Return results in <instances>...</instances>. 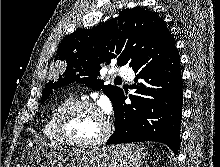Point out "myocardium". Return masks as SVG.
Returning a JSON list of instances; mask_svg holds the SVG:
<instances>
[{
	"label": "myocardium",
	"instance_id": "f54148a6",
	"mask_svg": "<svg viewBox=\"0 0 220 167\" xmlns=\"http://www.w3.org/2000/svg\"><path fill=\"white\" fill-rule=\"evenodd\" d=\"M80 107L93 110L94 112H96L102 117L103 130L97 138L92 139V140H86V141L77 140V139L70 137L66 133L64 129V124H65L66 119L68 118V116L71 114L73 110H75L76 108H80ZM54 129H55V132L58 138L64 144L75 146V147L91 148V147L99 146L108 140V138L111 135L112 124H111L109 117L106 115V113L101 108H99L95 103L89 100H85V99H73L59 110L55 118Z\"/></svg>",
	"mask_w": 220,
	"mask_h": 167
}]
</instances>
